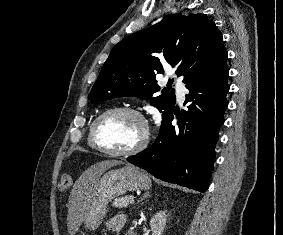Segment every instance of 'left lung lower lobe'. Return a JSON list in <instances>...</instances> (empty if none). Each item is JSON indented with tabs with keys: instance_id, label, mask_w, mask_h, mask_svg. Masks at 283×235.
Here are the masks:
<instances>
[{
	"instance_id": "obj_1",
	"label": "left lung lower lobe",
	"mask_w": 283,
	"mask_h": 235,
	"mask_svg": "<svg viewBox=\"0 0 283 235\" xmlns=\"http://www.w3.org/2000/svg\"><path fill=\"white\" fill-rule=\"evenodd\" d=\"M228 74L225 61L188 81L185 86L190 93L184 102L190 103L188 111L180 115L173 109L162 123L155 143L127 161L163 181L205 192L215 161L219 128L228 106ZM174 114L178 129L171 124Z\"/></svg>"
}]
</instances>
